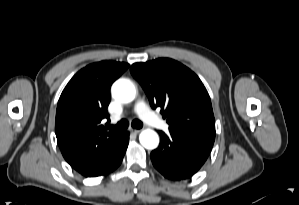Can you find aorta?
I'll use <instances>...</instances> for the list:
<instances>
[{
    "label": "aorta",
    "instance_id": "aorta-1",
    "mask_svg": "<svg viewBox=\"0 0 299 205\" xmlns=\"http://www.w3.org/2000/svg\"><path fill=\"white\" fill-rule=\"evenodd\" d=\"M112 95L120 102L129 103L134 100L136 89L129 80L119 79L112 86ZM139 140L146 149H155L159 144L158 134L151 129L143 130L140 133Z\"/></svg>",
    "mask_w": 299,
    "mask_h": 205
}]
</instances>
